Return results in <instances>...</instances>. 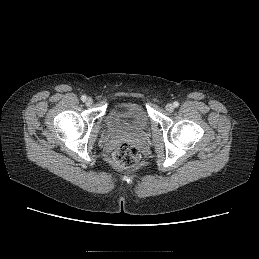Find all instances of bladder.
<instances>
[{"label":"bladder","mask_w":259,"mask_h":259,"mask_svg":"<svg viewBox=\"0 0 259 259\" xmlns=\"http://www.w3.org/2000/svg\"><path fill=\"white\" fill-rule=\"evenodd\" d=\"M106 127L115 132H143L150 125L145 108L136 102L111 105L105 116Z\"/></svg>","instance_id":"1"}]
</instances>
